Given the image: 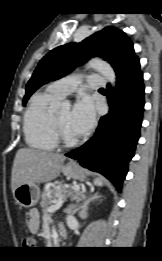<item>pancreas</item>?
I'll list each match as a JSON object with an SVG mask.
<instances>
[{
	"instance_id": "1",
	"label": "pancreas",
	"mask_w": 162,
	"mask_h": 261,
	"mask_svg": "<svg viewBox=\"0 0 162 261\" xmlns=\"http://www.w3.org/2000/svg\"><path fill=\"white\" fill-rule=\"evenodd\" d=\"M69 186H66L62 183H57L54 185H46L44 187V190L41 195V202L40 205L43 208V212L46 213V209L49 205L53 204V201L55 198L59 196V194H62V197L66 199L67 196L71 195H79L82 192L79 191H67Z\"/></svg>"
}]
</instances>
